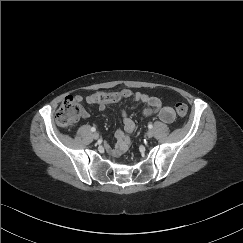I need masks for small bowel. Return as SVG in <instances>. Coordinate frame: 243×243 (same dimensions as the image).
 I'll return each mask as SVG.
<instances>
[{
  "instance_id": "1",
  "label": "small bowel",
  "mask_w": 243,
  "mask_h": 243,
  "mask_svg": "<svg viewBox=\"0 0 243 243\" xmlns=\"http://www.w3.org/2000/svg\"><path fill=\"white\" fill-rule=\"evenodd\" d=\"M122 92L127 93L126 97L131 96L135 103L146 105V107L142 110L143 117H150L154 115L157 116L164 123H171L175 119L173 109L169 106L163 105L159 98L141 92H131L129 90H123ZM77 98L80 101H85L86 103L92 105H99L100 107H104L106 104L112 103L103 101L96 94L87 97L77 96ZM81 114L84 118L88 116L87 111L84 109L82 110ZM120 116L122 118L124 128L123 130H117L115 132V145H110L108 143H105L104 145V148L114 156L122 155L126 151L130 140L129 135L133 132L135 128V123L131 119L126 109H122L120 111Z\"/></svg>"
}]
</instances>
